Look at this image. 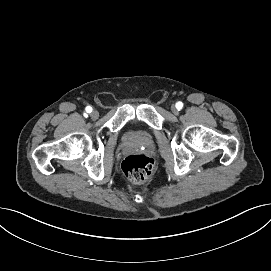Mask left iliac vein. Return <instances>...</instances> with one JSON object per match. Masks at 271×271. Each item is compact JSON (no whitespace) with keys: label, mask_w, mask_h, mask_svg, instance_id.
Instances as JSON below:
<instances>
[{"label":"left iliac vein","mask_w":271,"mask_h":271,"mask_svg":"<svg viewBox=\"0 0 271 271\" xmlns=\"http://www.w3.org/2000/svg\"><path fill=\"white\" fill-rule=\"evenodd\" d=\"M171 111L173 114H178V112H179V110L176 108V106H172Z\"/></svg>","instance_id":"4c4485c4"}]
</instances>
